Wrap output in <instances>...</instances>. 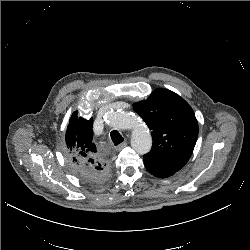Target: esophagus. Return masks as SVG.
<instances>
[{"label":"esophagus","instance_id":"34e87169","mask_svg":"<svg viewBox=\"0 0 250 250\" xmlns=\"http://www.w3.org/2000/svg\"><path fill=\"white\" fill-rule=\"evenodd\" d=\"M126 146H127V141H124L123 143H121L117 146V150L120 151L121 149H123Z\"/></svg>","mask_w":250,"mask_h":250}]
</instances>
